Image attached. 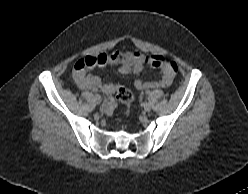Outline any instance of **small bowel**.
I'll return each mask as SVG.
<instances>
[{
  "mask_svg": "<svg viewBox=\"0 0 248 194\" xmlns=\"http://www.w3.org/2000/svg\"><path fill=\"white\" fill-rule=\"evenodd\" d=\"M148 57L139 52L133 51H115L109 55L99 54L94 57H86V60H93L95 65L93 67H104L108 64L118 65V72L126 75L130 73H140L146 67L158 68L160 70V78L155 81L136 80L134 82L135 88L139 90L166 88L171 85L173 80V73L167 67H156L148 62ZM93 67L79 70L75 65L73 70V78L76 85L82 90L93 92L102 91L107 95L114 92L115 86L113 84H104L102 80L89 73ZM112 104L108 103L104 107L105 112H109Z\"/></svg>",
  "mask_w": 248,
  "mask_h": 194,
  "instance_id": "obj_1",
  "label": "small bowel"
}]
</instances>
